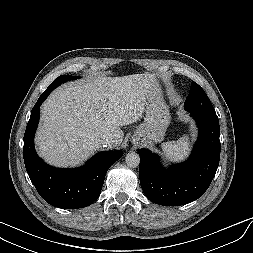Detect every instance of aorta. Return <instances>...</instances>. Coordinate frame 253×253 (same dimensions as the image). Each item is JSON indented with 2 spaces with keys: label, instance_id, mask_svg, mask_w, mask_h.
<instances>
[{
  "label": "aorta",
  "instance_id": "aorta-1",
  "mask_svg": "<svg viewBox=\"0 0 253 253\" xmlns=\"http://www.w3.org/2000/svg\"><path fill=\"white\" fill-rule=\"evenodd\" d=\"M125 162L128 167L136 168L140 163V156L136 152H130L126 155Z\"/></svg>",
  "mask_w": 253,
  "mask_h": 253
}]
</instances>
